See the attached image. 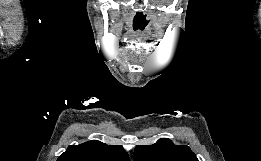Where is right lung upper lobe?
<instances>
[{
	"mask_svg": "<svg viewBox=\"0 0 261 161\" xmlns=\"http://www.w3.org/2000/svg\"><path fill=\"white\" fill-rule=\"evenodd\" d=\"M57 161H130L120 145H107L97 140L70 145Z\"/></svg>",
	"mask_w": 261,
	"mask_h": 161,
	"instance_id": "1",
	"label": "right lung upper lobe"
}]
</instances>
